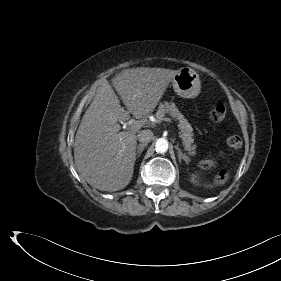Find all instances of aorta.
I'll use <instances>...</instances> for the list:
<instances>
[{"label": "aorta", "mask_w": 281, "mask_h": 281, "mask_svg": "<svg viewBox=\"0 0 281 281\" xmlns=\"http://www.w3.org/2000/svg\"><path fill=\"white\" fill-rule=\"evenodd\" d=\"M155 149L158 153H165L168 150V141L164 138L157 139Z\"/></svg>", "instance_id": "762f6f07"}]
</instances>
